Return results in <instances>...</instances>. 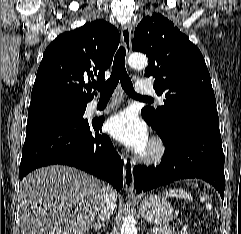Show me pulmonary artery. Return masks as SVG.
<instances>
[{
    "label": "pulmonary artery",
    "mask_w": 241,
    "mask_h": 234,
    "mask_svg": "<svg viewBox=\"0 0 241 234\" xmlns=\"http://www.w3.org/2000/svg\"><path fill=\"white\" fill-rule=\"evenodd\" d=\"M136 92L139 95H153L154 89L150 84L147 83H138L136 86ZM160 99V98H159ZM98 104V101H93L91 103V108H95Z\"/></svg>",
    "instance_id": "pulmonary-artery-1"
}]
</instances>
